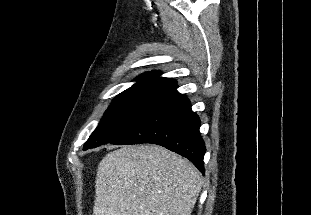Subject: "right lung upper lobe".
Returning <instances> with one entry per match:
<instances>
[{"instance_id": "cb5924a9", "label": "right lung upper lobe", "mask_w": 311, "mask_h": 215, "mask_svg": "<svg viewBox=\"0 0 311 215\" xmlns=\"http://www.w3.org/2000/svg\"><path fill=\"white\" fill-rule=\"evenodd\" d=\"M157 71L147 72L140 75L138 81L133 86H172L176 80L160 77Z\"/></svg>"}]
</instances>
